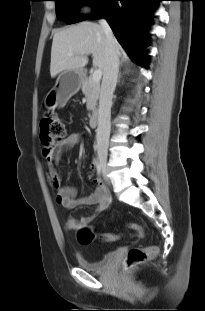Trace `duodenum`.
Here are the masks:
<instances>
[{
	"mask_svg": "<svg viewBox=\"0 0 205 311\" xmlns=\"http://www.w3.org/2000/svg\"><path fill=\"white\" fill-rule=\"evenodd\" d=\"M99 114L97 110L91 112L89 116V123L91 126H96L98 124Z\"/></svg>",
	"mask_w": 205,
	"mask_h": 311,
	"instance_id": "410a0bca",
	"label": "duodenum"
}]
</instances>
